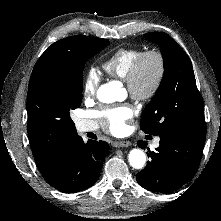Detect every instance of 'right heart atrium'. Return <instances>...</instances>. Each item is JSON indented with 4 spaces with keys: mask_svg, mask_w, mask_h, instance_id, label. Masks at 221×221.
Masks as SVG:
<instances>
[{
    "mask_svg": "<svg viewBox=\"0 0 221 221\" xmlns=\"http://www.w3.org/2000/svg\"><path fill=\"white\" fill-rule=\"evenodd\" d=\"M100 76L97 70L93 67L86 72L83 81V95L85 98H92L99 86Z\"/></svg>",
    "mask_w": 221,
    "mask_h": 221,
    "instance_id": "d8ad5b80",
    "label": "right heart atrium"
}]
</instances>
